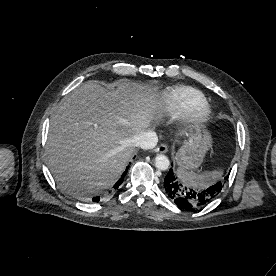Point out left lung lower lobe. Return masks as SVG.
<instances>
[{
    "mask_svg": "<svg viewBox=\"0 0 276 276\" xmlns=\"http://www.w3.org/2000/svg\"><path fill=\"white\" fill-rule=\"evenodd\" d=\"M228 176L225 177V180ZM223 183L218 182L206 189L198 190L194 187L190 188L174 173L173 169L164 178L163 188L166 194L174 200L177 206L185 209L200 208L210 203L222 190Z\"/></svg>",
    "mask_w": 276,
    "mask_h": 276,
    "instance_id": "obj_1",
    "label": "left lung lower lobe"
}]
</instances>
